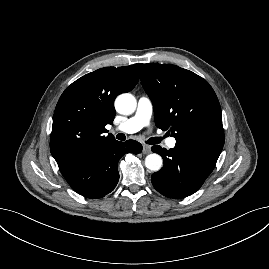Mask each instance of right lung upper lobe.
I'll use <instances>...</instances> for the list:
<instances>
[{
    "mask_svg": "<svg viewBox=\"0 0 269 269\" xmlns=\"http://www.w3.org/2000/svg\"><path fill=\"white\" fill-rule=\"evenodd\" d=\"M142 64L105 67L73 82L61 95L53 116L50 150L58 166L114 141L105 129L115 117L114 100L139 81Z\"/></svg>",
    "mask_w": 269,
    "mask_h": 269,
    "instance_id": "1",
    "label": "right lung upper lobe"
}]
</instances>
